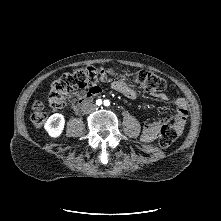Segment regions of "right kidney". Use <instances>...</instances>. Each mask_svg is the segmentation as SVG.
Returning <instances> with one entry per match:
<instances>
[{
	"mask_svg": "<svg viewBox=\"0 0 221 221\" xmlns=\"http://www.w3.org/2000/svg\"><path fill=\"white\" fill-rule=\"evenodd\" d=\"M65 118L60 113L51 115L44 125V129L47 131L50 137H59L64 129Z\"/></svg>",
	"mask_w": 221,
	"mask_h": 221,
	"instance_id": "ca27d5eb",
	"label": "right kidney"
}]
</instances>
